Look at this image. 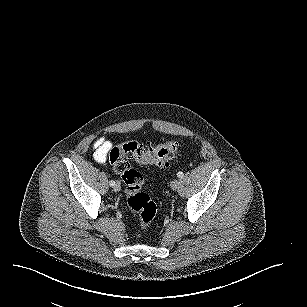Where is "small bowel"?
Returning <instances> with one entry per match:
<instances>
[{
  "instance_id": "c3829d8e",
  "label": "small bowel",
  "mask_w": 307,
  "mask_h": 307,
  "mask_svg": "<svg viewBox=\"0 0 307 307\" xmlns=\"http://www.w3.org/2000/svg\"><path fill=\"white\" fill-rule=\"evenodd\" d=\"M112 147V143L105 137L97 138L93 143L94 159L98 163H104L107 159L108 152Z\"/></svg>"
}]
</instances>
